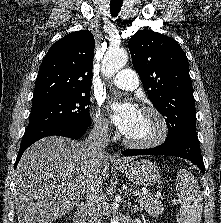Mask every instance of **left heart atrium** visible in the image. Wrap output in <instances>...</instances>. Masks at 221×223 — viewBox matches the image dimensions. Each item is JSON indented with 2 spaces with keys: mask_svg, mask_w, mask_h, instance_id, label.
Wrapping results in <instances>:
<instances>
[{
  "mask_svg": "<svg viewBox=\"0 0 221 223\" xmlns=\"http://www.w3.org/2000/svg\"><path fill=\"white\" fill-rule=\"evenodd\" d=\"M113 123L123 134H127L134 126L140 111L131 102H113L109 105Z\"/></svg>",
  "mask_w": 221,
  "mask_h": 223,
  "instance_id": "left-heart-atrium-1",
  "label": "left heart atrium"
}]
</instances>
